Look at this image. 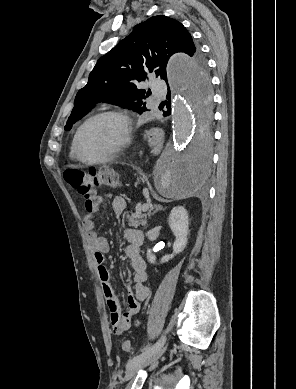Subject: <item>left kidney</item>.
Here are the masks:
<instances>
[{"instance_id":"obj_1","label":"left kidney","mask_w":296,"mask_h":389,"mask_svg":"<svg viewBox=\"0 0 296 389\" xmlns=\"http://www.w3.org/2000/svg\"><path fill=\"white\" fill-rule=\"evenodd\" d=\"M168 223L176 239L173 244V253L163 256L160 260V263L168 262L170 259L174 258L176 254L183 252L188 241V213L183 206H177L171 210ZM147 259L151 264L156 263V256L151 253V250L147 251Z\"/></svg>"}]
</instances>
